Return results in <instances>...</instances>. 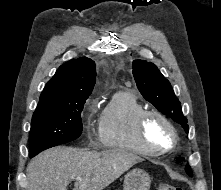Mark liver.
I'll list each match as a JSON object with an SVG mask.
<instances>
[{
	"instance_id": "1",
	"label": "liver",
	"mask_w": 221,
	"mask_h": 190,
	"mask_svg": "<svg viewBox=\"0 0 221 190\" xmlns=\"http://www.w3.org/2000/svg\"><path fill=\"white\" fill-rule=\"evenodd\" d=\"M124 149L101 152L59 146L43 151L27 166L28 190H103L133 165L142 162ZM81 178L82 181L77 180Z\"/></svg>"
}]
</instances>
